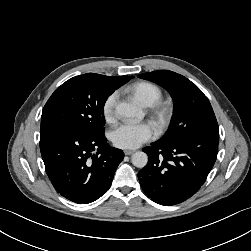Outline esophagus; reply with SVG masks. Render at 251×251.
Wrapping results in <instances>:
<instances>
[{
  "label": "esophagus",
  "instance_id": "1",
  "mask_svg": "<svg viewBox=\"0 0 251 251\" xmlns=\"http://www.w3.org/2000/svg\"><path fill=\"white\" fill-rule=\"evenodd\" d=\"M135 151L134 150H124V154L125 155H131L133 154Z\"/></svg>",
  "mask_w": 251,
  "mask_h": 251
}]
</instances>
